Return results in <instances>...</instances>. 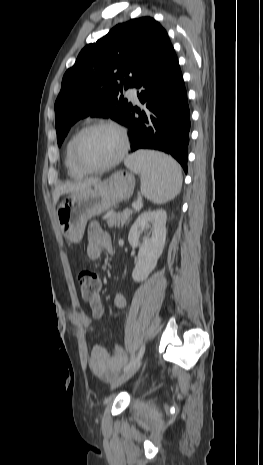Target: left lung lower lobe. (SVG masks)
Segmentation results:
<instances>
[{"mask_svg":"<svg viewBox=\"0 0 263 465\" xmlns=\"http://www.w3.org/2000/svg\"><path fill=\"white\" fill-rule=\"evenodd\" d=\"M144 110L131 109L123 123L129 128L131 151L156 149L171 154L187 172L190 111L178 59L167 43L136 82ZM135 111L139 118H135Z\"/></svg>","mask_w":263,"mask_h":465,"instance_id":"0a47b994","label":"left lung lower lobe"}]
</instances>
